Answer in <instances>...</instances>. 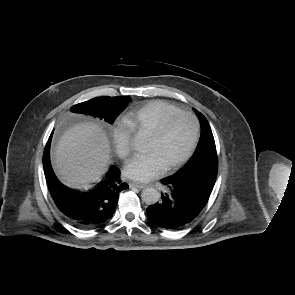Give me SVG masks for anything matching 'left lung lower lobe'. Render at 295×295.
Instances as JSON below:
<instances>
[{
  "instance_id": "0a47b994",
  "label": "left lung lower lobe",
  "mask_w": 295,
  "mask_h": 295,
  "mask_svg": "<svg viewBox=\"0 0 295 295\" xmlns=\"http://www.w3.org/2000/svg\"><path fill=\"white\" fill-rule=\"evenodd\" d=\"M218 166L204 164L161 180L166 191L161 201L147 208L149 220L165 229H178L191 222L205 207L214 187Z\"/></svg>"
}]
</instances>
